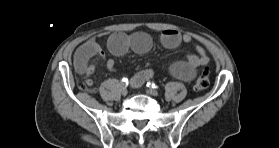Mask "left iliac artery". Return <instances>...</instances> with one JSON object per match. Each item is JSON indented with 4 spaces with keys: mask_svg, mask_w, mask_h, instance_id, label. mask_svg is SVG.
Returning a JSON list of instances; mask_svg holds the SVG:
<instances>
[{
    "mask_svg": "<svg viewBox=\"0 0 279 148\" xmlns=\"http://www.w3.org/2000/svg\"><path fill=\"white\" fill-rule=\"evenodd\" d=\"M146 86L151 88V89H157L158 88V86L154 82H147Z\"/></svg>",
    "mask_w": 279,
    "mask_h": 148,
    "instance_id": "left-iliac-artery-1",
    "label": "left iliac artery"
}]
</instances>
